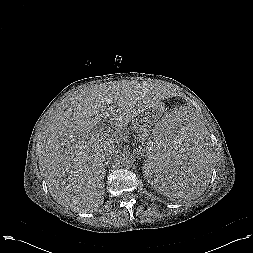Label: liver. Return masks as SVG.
Wrapping results in <instances>:
<instances>
[{
  "mask_svg": "<svg viewBox=\"0 0 253 253\" xmlns=\"http://www.w3.org/2000/svg\"><path fill=\"white\" fill-rule=\"evenodd\" d=\"M158 97V88L150 84L122 81L85 87L66 100L45 126L39 156V168L57 203L81 212L103 204L108 146ZM107 114L115 131L92 141L91 132Z\"/></svg>",
  "mask_w": 253,
  "mask_h": 253,
  "instance_id": "liver-1",
  "label": "liver"
}]
</instances>
